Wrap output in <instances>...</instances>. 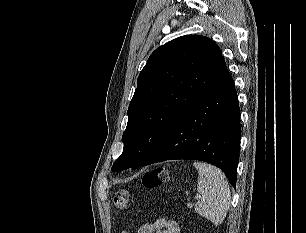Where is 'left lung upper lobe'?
<instances>
[{"label": "left lung upper lobe", "instance_id": "obj_1", "mask_svg": "<svg viewBox=\"0 0 306 233\" xmlns=\"http://www.w3.org/2000/svg\"><path fill=\"white\" fill-rule=\"evenodd\" d=\"M224 67L218 45L204 36L185 35L157 48L139 74L123 153L112 170L142 166Z\"/></svg>", "mask_w": 306, "mask_h": 233}]
</instances>
